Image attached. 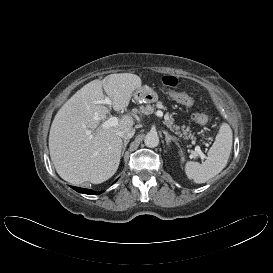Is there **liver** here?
Here are the masks:
<instances>
[{
	"label": "liver",
	"mask_w": 273,
	"mask_h": 273,
	"mask_svg": "<svg viewBox=\"0 0 273 273\" xmlns=\"http://www.w3.org/2000/svg\"><path fill=\"white\" fill-rule=\"evenodd\" d=\"M142 80L131 73L110 74L78 90L57 112L50 129L49 150L59 176L72 184L89 181L102 183L118 169L124 128H132L133 117L124 115L116 126L103 128L108 108L102 103L104 93L115 111L124 110Z\"/></svg>",
	"instance_id": "obj_1"
}]
</instances>
